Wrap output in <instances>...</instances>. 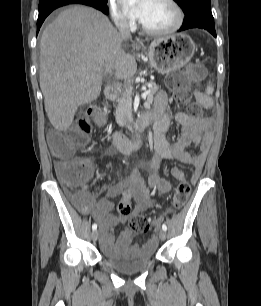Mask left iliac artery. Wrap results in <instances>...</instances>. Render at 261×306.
<instances>
[{"instance_id":"1","label":"left iliac artery","mask_w":261,"mask_h":306,"mask_svg":"<svg viewBox=\"0 0 261 306\" xmlns=\"http://www.w3.org/2000/svg\"><path fill=\"white\" fill-rule=\"evenodd\" d=\"M162 229H163L164 231H166V230H167V226H166L165 224H163V225H162Z\"/></svg>"}]
</instances>
